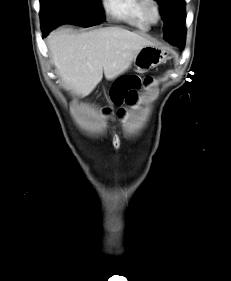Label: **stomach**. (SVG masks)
Wrapping results in <instances>:
<instances>
[{
  "label": "stomach",
  "mask_w": 231,
  "mask_h": 281,
  "mask_svg": "<svg viewBox=\"0 0 231 281\" xmlns=\"http://www.w3.org/2000/svg\"><path fill=\"white\" fill-rule=\"evenodd\" d=\"M165 50L154 45L143 47L134 58V65L138 71H147L164 63L167 59Z\"/></svg>",
  "instance_id": "obj_1"
}]
</instances>
